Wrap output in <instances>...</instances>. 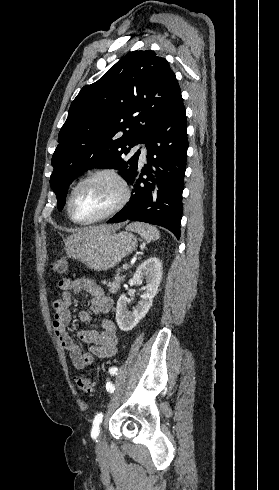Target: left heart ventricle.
Wrapping results in <instances>:
<instances>
[{"label": "left heart ventricle", "mask_w": 279, "mask_h": 490, "mask_svg": "<svg viewBox=\"0 0 279 490\" xmlns=\"http://www.w3.org/2000/svg\"><path fill=\"white\" fill-rule=\"evenodd\" d=\"M119 197L117 184L105 177L84 182L78 189L73 203L74 216L88 220L108 209Z\"/></svg>", "instance_id": "left-heart-ventricle-1"}]
</instances>
